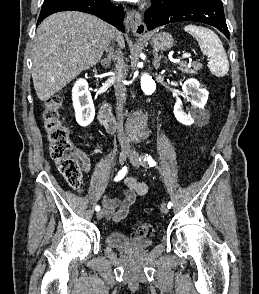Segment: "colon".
Segmentation results:
<instances>
[{"label":"colon","instance_id":"colon-1","mask_svg":"<svg viewBox=\"0 0 259 294\" xmlns=\"http://www.w3.org/2000/svg\"><path fill=\"white\" fill-rule=\"evenodd\" d=\"M62 96L49 99L42 111L43 126L49 142L52 159L66 180L74 189L81 184V170L75 156L74 145L68 128L61 119ZM157 227L153 223L140 224L134 231L139 237H150L156 233Z\"/></svg>","mask_w":259,"mask_h":294}]
</instances>
